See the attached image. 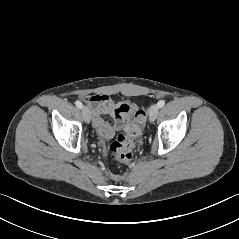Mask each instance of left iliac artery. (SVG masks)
Masks as SVG:
<instances>
[{"instance_id": "1", "label": "left iliac artery", "mask_w": 239, "mask_h": 239, "mask_svg": "<svg viewBox=\"0 0 239 239\" xmlns=\"http://www.w3.org/2000/svg\"><path fill=\"white\" fill-rule=\"evenodd\" d=\"M158 107L159 108H162L164 105H165V101L164 100H160L158 103H157Z\"/></svg>"}]
</instances>
